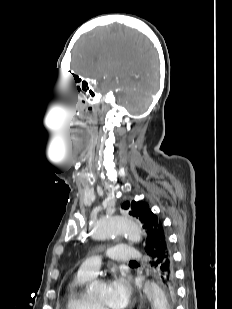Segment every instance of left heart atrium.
I'll list each match as a JSON object with an SVG mask.
<instances>
[{
  "label": "left heart atrium",
  "mask_w": 232,
  "mask_h": 309,
  "mask_svg": "<svg viewBox=\"0 0 232 309\" xmlns=\"http://www.w3.org/2000/svg\"><path fill=\"white\" fill-rule=\"evenodd\" d=\"M111 302L115 309L126 308L132 298V288L130 284L121 277H116L110 283Z\"/></svg>",
  "instance_id": "39dd6f15"
}]
</instances>
